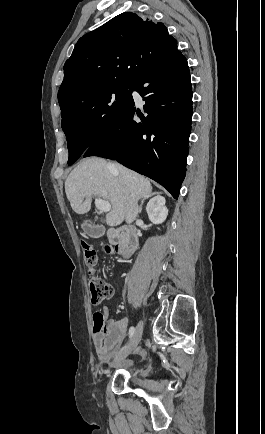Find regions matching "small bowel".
Segmentation results:
<instances>
[{
  "label": "small bowel",
  "instance_id": "small-bowel-1",
  "mask_svg": "<svg viewBox=\"0 0 265 434\" xmlns=\"http://www.w3.org/2000/svg\"><path fill=\"white\" fill-rule=\"evenodd\" d=\"M103 314L108 315V309H104ZM127 322L126 317L110 319L105 329L93 336V344L99 363L110 362V359H107L108 356L115 354V349L126 337Z\"/></svg>",
  "mask_w": 265,
  "mask_h": 434
}]
</instances>
